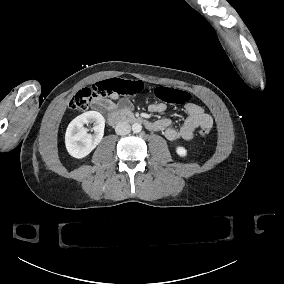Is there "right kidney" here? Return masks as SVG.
I'll return each instance as SVG.
<instances>
[{"instance_id": "obj_1", "label": "right kidney", "mask_w": 284, "mask_h": 284, "mask_svg": "<svg viewBox=\"0 0 284 284\" xmlns=\"http://www.w3.org/2000/svg\"><path fill=\"white\" fill-rule=\"evenodd\" d=\"M94 123V134H88L84 124ZM105 119L97 111H88L73 119L66 130L65 144L69 154L75 158L87 156L102 140Z\"/></svg>"}]
</instances>
